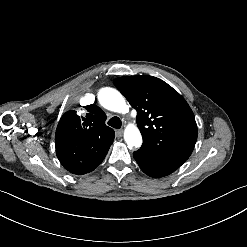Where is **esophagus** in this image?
Wrapping results in <instances>:
<instances>
[{
    "label": "esophagus",
    "instance_id": "obj_1",
    "mask_svg": "<svg viewBox=\"0 0 247 247\" xmlns=\"http://www.w3.org/2000/svg\"><path fill=\"white\" fill-rule=\"evenodd\" d=\"M122 135H123V130L119 129V130H116V131H115V136H116L117 138H120Z\"/></svg>",
    "mask_w": 247,
    "mask_h": 247
}]
</instances>
